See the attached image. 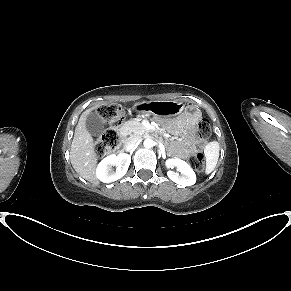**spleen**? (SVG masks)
Here are the masks:
<instances>
[{
  "label": "spleen",
  "mask_w": 291,
  "mask_h": 291,
  "mask_svg": "<svg viewBox=\"0 0 291 291\" xmlns=\"http://www.w3.org/2000/svg\"><path fill=\"white\" fill-rule=\"evenodd\" d=\"M219 143L217 141L210 142L206 145L204 153L206 157V174L211 173L219 158Z\"/></svg>",
  "instance_id": "spleen-1"
}]
</instances>
